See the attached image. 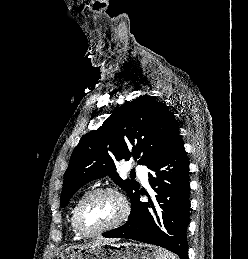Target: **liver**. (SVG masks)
Here are the masks:
<instances>
[{
  "mask_svg": "<svg viewBox=\"0 0 248 259\" xmlns=\"http://www.w3.org/2000/svg\"><path fill=\"white\" fill-rule=\"evenodd\" d=\"M116 241V239H109V238H99L93 242H90L89 244H85L83 246H88V247H91V246H97L99 244H102V243H114Z\"/></svg>",
  "mask_w": 248,
  "mask_h": 259,
  "instance_id": "obj_1",
  "label": "liver"
}]
</instances>
